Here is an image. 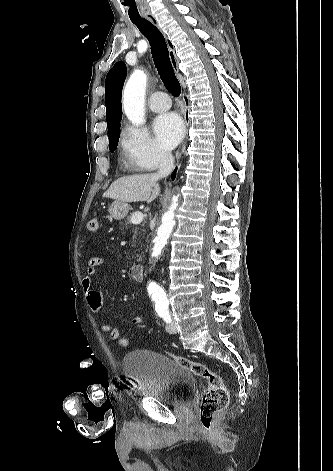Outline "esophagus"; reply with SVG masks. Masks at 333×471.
Here are the masks:
<instances>
[{
    "instance_id": "esophagus-1",
    "label": "esophagus",
    "mask_w": 333,
    "mask_h": 471,
    "mask_svg": "<svg viewBox=\"0 0 333 471\" xmlns=\"http://www.w3.org/2000/svg\"><path fill=\"white\" fill-rule=\"evenodd\" d=\"M147 19H148L154 26H156L158 29L160 28V27H159V22H158L157 18H156L154 15H152V14L148 15V16H147ZM169 57H170V61H171V64H172V67H173L174 71L178 73V71H179V70H178V58L176 57L174 51H173L171 48H169ZM184 149H185V144L181 147V149H180V154H182V152L184 151Z\"/></svg>"
}]
</instances>
